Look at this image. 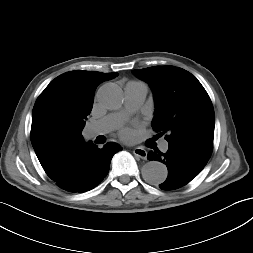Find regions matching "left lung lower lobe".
I'll return each instance as SVG.
<instances>
[{"label": "left lung lower lobe", "instance_id": "obj_1", "mask_svg": "<svg viewBox=\"0 0 253 253\" xmlns=\"http://www.w3.org/2000/svg\"><path fill=\"white\" fill-rule=\"evenodd\" d=\"M212 151L188 144L169 143L166 153L149 152L147 158L164 163L168 177L159 186L163 190H173L189 183L207 164Z\"/></svg>", "mask_w": 253, "mask_h": 253}]
</instances>
